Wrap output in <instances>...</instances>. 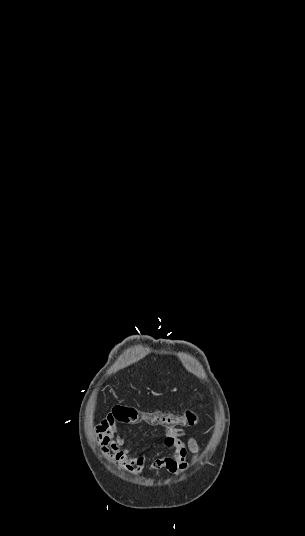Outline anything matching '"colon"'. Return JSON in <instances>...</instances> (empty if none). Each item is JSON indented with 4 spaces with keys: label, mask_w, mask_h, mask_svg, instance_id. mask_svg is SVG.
I'll list each match as a JSON object with an SVG mask.
<instances>
[{
    "label": "colon",
    "mask_w": 305,
    "mask_h": 536,
    "mask_svg": "<svg viewBox=\"0 0 305 536\" xmlns=\"http://www.w3.org/2000/svg\"><path fill=\"white\" fill-rule=\"evenodd\" d=\"M198 411V407H190L182 415L162 413L155 417L154 414L146 413L135 406H119L115 410V415H117L118 423L123 424H133L148 419L152 423H162L171 427H193L197 422Z\"/></svg>",
    "instance_id": "5ec220e1"
}]
</instances>
